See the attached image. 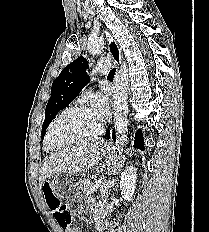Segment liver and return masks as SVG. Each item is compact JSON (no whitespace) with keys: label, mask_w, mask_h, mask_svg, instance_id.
I'll return each mask as SVG.
<instances>
[{"label":"liver","mask_w":209,"mask_h":232,"mask_svg":"<svg viewBox=\"0 0 209 232\" xmlns=\"http://www.w3.org/2000/svg\"><path fill=\"white\" fill-rule=\"evenodd\" d=\"M99 144L100 142L80 143L49 156L40 172V186L53 174L77 173L93 167L100 156Z\"/></svg>","instance_id":"1"}]
</instances>
